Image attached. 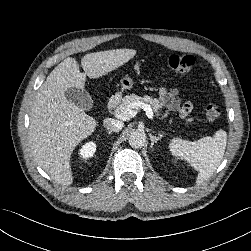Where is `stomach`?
Returning a JSON list of instances; mask_svg holds the SVG:
<instances>
[{"label":"stomach","instance_id":"1","mask_svg":"<svg viewBox=\"0 0 251 251\" xmlns=\"http://www.w3.org/2000/svg\"><path fill=\"white\" fill-rule=\"evenodd\" d=\"M133 80L130 77H124L120 80L122 90H130L133 87Z\"/></svg>","mask_w":251,"mask_h":251}]
</instances>
